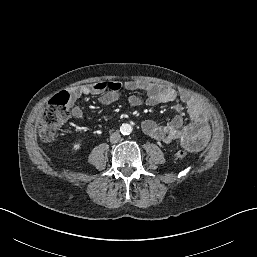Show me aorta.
I'll return each instance as SVG.
<instances>
[{"mask_svg": "<svg viewBox=\"0 0 257 257\" xmlns=\"http://www.w3.org/2000/svg\"><path fill=\"white\" fill-rule=\"evenodd\" d=\"M133 128L130 124L124 123L120 127V131L123 135H129L132 132Z\"/></svg>", "mask_w": 257, "mask_h": 257, "instance_id": "aorta-1", "label": "aorta"}]
</instances>
